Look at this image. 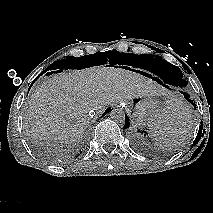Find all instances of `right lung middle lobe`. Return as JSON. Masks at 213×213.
Segmentation results:
<instances>
[{
    "label": "right lung middle lobe",
    "mask_w": 213,
    "mask_h": 213,
    "mask_svg": "<svg viewBox=\"0 0 213 213\" xmlns=\"http://www.w3.org/2000/svg\"><path fill=\"white\" fill-rule=\"evenodd\" d=\"M128 53H120L117 50H110L106 52H97L92 55L82 57L68 56L66 59L57 60L51 64L45 71L48 70H60V69H83L94 65H101L104 63L115 64L127 57Z\"/></svg>",
    "instance_id": "dd1d6c3e"
}]
</instances>
